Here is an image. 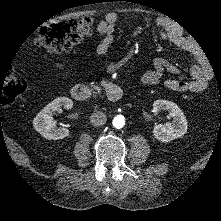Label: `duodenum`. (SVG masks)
Listing matches in <instances>:
<instances>
[{"label": "duodenum", "instance_id": "obj_1", "mask_svg": "<svg viewBox=\"0 0 221 221\" xmlns=\"http://www.w3.org/2000/svg\"><path fill=\"white\" fill-rule=\"evenodd\" d=\"M106 96L109 101L117 102L123 97L122 89L112 81H105L103 83ZM70 95L75 101H85L88 98V89L81 84L73 86L70 90Z\"/></svg>", "mask_w": 221, "mask_h": 221}]
</instances>
